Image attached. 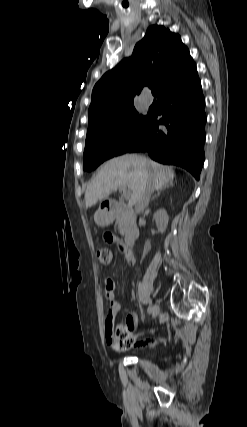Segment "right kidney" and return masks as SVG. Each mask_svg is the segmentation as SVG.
I'll use <instances>...</instances> for the list:
<instances>
[{"instance_id": "obj_1", "label": "right kidney", "mask_w": 247, "mask_h": 427, "mask_svg": "<svg viewBox=\"0 0 247 427\" xmlns=\"http://www.w3.org/2000/svg\"><path fill=\"white\" fill-rule=\"evenodd\" d=\"M153 218L157 224L158 230L160 233H164L166 231L167 225H168V215L165 209H159L157 210Z\"/></svg>"}]
</instances>
